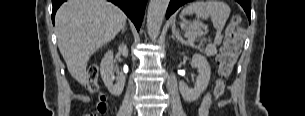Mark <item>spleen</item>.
Wrapping results in <instances>:
<instances>
[{
    "label": "spleen",
    "mask_w": 305,
    "mask_h": 116,
    "mask_svg": "<svg viewBox=\"0 0 305 116\" xmlns=\"http://www.w3.org/2000/svg\"><path fill=\"white\" fill-rule=\"evenodd\" d=\"M192 14L196 15L197 21L191 25L187 33V40L184 43L188 45H192L198 37L206 33L199 26V19L206 20L210 18L215 29L221 31L229 17L230 8L224 2L217 0L196 1L190 3L182 10V15Z\"/></svg>",
    "instance_id": "1"
}]
</instances>
